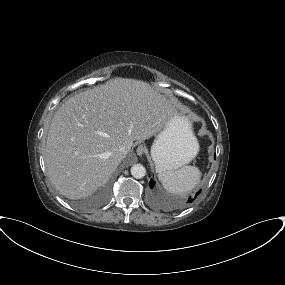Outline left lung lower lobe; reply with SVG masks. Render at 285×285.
Returning <instances> with one entry per match:
<instances>
[{
  "mask_svg": "<svg viewBox=\"0 0 285 285\" xmlns=\"http://www.w3.org/2000/svg\"><path fill=\"white\" fill-rule=\"evenodd\" d=\"M155 182L153 181V179L150 180V187L153 188L154 187ZM198 194H200V191L196 193L195 198L198 196ZM194 199L189 198V203L193 202Z\"/></svg>",
  "mask_w": 285,
  "mask_h": 285,
  "instance_id": "left-lung-lower-lobe-1",
  "label": "left lung lower lobe"
}]
</instances>
